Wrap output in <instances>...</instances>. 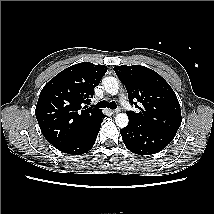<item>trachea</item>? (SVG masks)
<instances>
[{
    "instance_id": "trachea-1",
    "label": "trachea",
    "mask_w": 214,
    "mask_h": 214,
    "mask_svg": "<svg viewBox=\"0 0 214 214\" xmlns=\"http://www.w3.org/2000/svg\"><path fill=\"white\" fill-rule=\"evenodd\" d=\"M97 108H110V109H116L117 105L114 101L112 102H107L105 100L103 101H100L97 105H96Z\"/></svg>"
}]
</instances>
